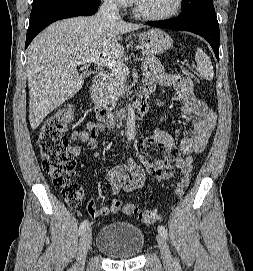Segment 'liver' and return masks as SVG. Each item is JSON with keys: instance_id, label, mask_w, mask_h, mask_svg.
Returning <instances> with one entry per match:
<instances>
[{"instance_id": "1", "label": "liver", "mask_w": 253, "mask_h": 271, "mask_svg": "<svg viewBox=\"0 0 253 271\" xmlns=\"http://www.w3.org/2000/svg\"><path fill=\"white\" fill-rule=\"evenodd\" d=\"M142 27L123 20L105 22L96 15L57 21L40 33L27 49L31 128H38L48 114L82 88L77 61L96 53L103 59H120L124 47L118 42L119 35Z\"/></svg>"}]
</instances>
